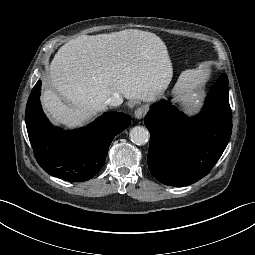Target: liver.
I'll return each mask as SVG.
<instances>
[{"mask_svg": "<svg viewBox=\"0 0 255 255\" xmlns=\"http://www.w3.org/2000/svg\"><path fill=\"white\" fill-rule=\"evenodd\" d=\"M172 76L167 47L154 33L126 29L83 35L54 56L50 79L58 94L45 88L41 101L55 123L75 128L106 111L114 94L131 103L153 100Z\"/></svg>", "mask_w": 255, "mask_h": 255, "instance_id": "liver-1", "label": "liver"}]
</instances>
